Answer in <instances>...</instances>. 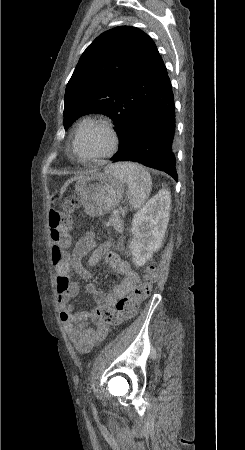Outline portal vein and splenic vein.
Instances as JSON below:
<instances>
[{
	"label": "portal vein and splenic vein",
	"mask_w": 245,
	"mask_h": 450,
	"mask_svg": "<svg viewBox=\"0 0 245 450\" xmlns=\"http://www.w3.org/2000/svg\"><path fill=\"white\" fill-rule=\"evenodd\" d=\"M118 213H119V211H118V210H115V211H114V214H118Z\"/></svg>",
	"instance_id": "1"
}]
</instances>
